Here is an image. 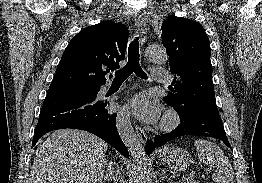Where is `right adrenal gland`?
<instances>
[{"instance_id": "obj_1", "label": "right adrenal gland", "mask_w": 262, "mask_h": 183, "mask_svg": "<svg viewBox=\"0 0 262 183\" xmlns=\"http://www.w3.org/2000/svg\"><path fill=\"white\" fill-rule=\"evenodd\" d=\"M106 176H105V180H107V182L109 183H116L117 182V178H116V174H115V170L113 167V162L112 161H106Z\"/></svg>"}]
</instances>
